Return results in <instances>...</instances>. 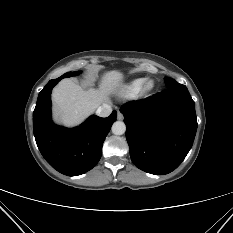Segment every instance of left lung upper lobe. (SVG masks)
I'll list each match as a JSON object with an SVG mask.
<instances>
[{
    "label": "left lung upper lobe",
    "mask_w": 233,
    "mask_h": 233,
    "mask_svg": "<svg viewBox=\"0 0 233 233\" xmlns=\"http://www.w3.org/2000/svg\"><path fill=\"white\" fill-rule=\"evenodd\" d=\"M164 81H165V84L167 86V88H172V87H176V86H180L182 84H179L177 81H175L174 79L172 78H168V77H165L164 78Z\"/></svg>",
    "instance_id": "5c2ea615"
}]
</instances>
